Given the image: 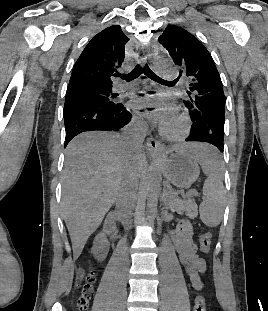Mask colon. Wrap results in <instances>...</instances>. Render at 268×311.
Segmentation results:
<instances>
[{"mask_svg":"<svg viewBox=\"0 0 268 311\" xmlns=\"http://www.w3.org/2000/svg\"><path fill=\"white\" fill-rule=\"evenodd\" d=\"M200 249L203 253H208L212 244L210 233H203L199 238ZM96 276L93 270H83L80 272L77 288L79 295L75 301L78 311H85L88 308L89 301L93 297V285ZM193 311H206V300L203 295L198 294L194 299Z\"/></svg>","mask_w":268,"mask_h":311,"instance_id":"obj_1","label":"colon"}]
</instances>
